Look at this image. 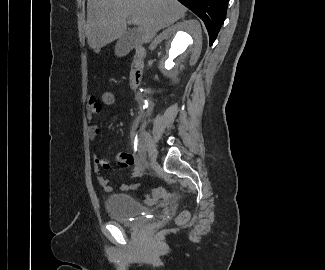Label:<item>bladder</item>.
I'll return each mask as SVG.
<instances>
[{
    "mask_svg": "<svg viewBox=\"0 0 325 270\" xmlns=\"http://www.w3.org/2000/svg\"><path fill=\"white\" fill-rule=\"evenodd\" d=\"M105 206L111 219L127 226H133L148 216V209L126 194L109 196Z\"/></svg>",
    "mask_w": 325,
    "mask_h": 270,
    "instance_id": "obj_1",
    "label": "bladder"
}]
</instances>
